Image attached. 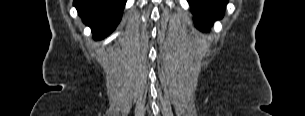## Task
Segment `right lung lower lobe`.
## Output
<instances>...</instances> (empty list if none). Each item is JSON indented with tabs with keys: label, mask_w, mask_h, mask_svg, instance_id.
I'll return each mask as SVG.
<instances>
[{
	"label": "right lung lower lobe",
	"mask_w": 305,
	"mask_h": 116,
	"mask_svg": "<svg viewBox=\"0 0 305 116\" xmlns=\"http://www.w3.org/2000/svg\"><path fill=\"white\" fill-rule=\"evenodd\" d=\"M126 0H74L78 14L95 39L109 35L120 22Z\"/></svg>",
	"instance_id": "1"
}]
</instances>
